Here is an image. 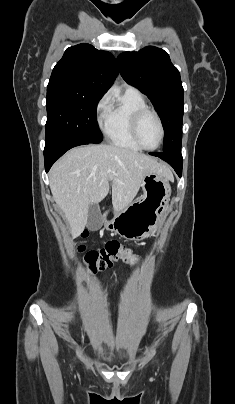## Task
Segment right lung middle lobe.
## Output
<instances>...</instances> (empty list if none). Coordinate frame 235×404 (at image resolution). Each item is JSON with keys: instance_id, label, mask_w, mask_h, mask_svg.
Segmentation results:
<instances>
[{"instance_id": "dd1d6c3e", "label": "right lung middle lobe", "mask_w": 235, "mask_h": 404, "mask_svg": "<svg viewBox=\"0 0 235 404\" xmlns=\"http://www.w3.org/2000/svg\"><path fill=\"white\" fill-rule=\"evenodd\" d=\"M100 99L61 88L47 89L46 141L71 135L90 143H100L102 135L96 121Z\"/></svg>"}]
</instances>
